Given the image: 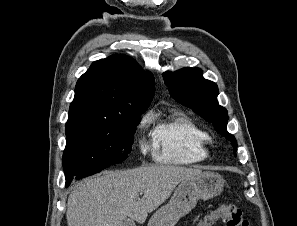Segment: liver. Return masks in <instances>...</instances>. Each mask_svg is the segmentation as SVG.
<instances>
[{
	"label": "liver",
	"mask_w": 297,
	"mask_h": 226,
	"mask_svg": "<svg viewBox=\"0 0 297 226\" xmlns=\"http://www.w3.org/2000/svg\"><path fill=\"white\" fill-rule=\"evenodd\" d=\"M201 174L200 169L153 165L87 178L68 197V226H123L127 218L143 224L180 182Z\"/></svg>",
	"instance_id": "obj_1"
}]
</instances>
